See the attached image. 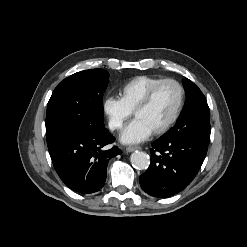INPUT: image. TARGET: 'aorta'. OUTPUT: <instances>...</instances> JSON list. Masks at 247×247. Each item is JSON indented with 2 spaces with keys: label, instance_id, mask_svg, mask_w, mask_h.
<instances>
[{
  "label": "aorta",
  "instance_id": "762f6f07",
  "mask_svg": "<svg viewBox=\"0 0 247 247\" xmlns=\"http://www.w3.org/2000/svg\"><path fill=\"white\" fill-rule=\"evenodd\" d=\"M131 163L138 170L147 169L150 165V157L142 151H136L131 154Z\"/></svg>",
  "mask_w": 247,
  "mask_h": 247
}]
</instances>
